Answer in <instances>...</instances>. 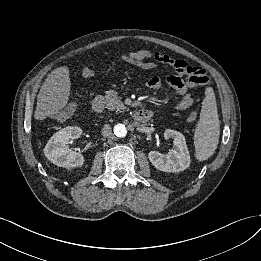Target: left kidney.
I'll return each mask as SVG.
<instances>
[{"label":"left kidney","instance_id":"5707ae66","mask_svg":"<svg viewBox=\"0 0 261 261\" xmlns=\"http://www.w3.org/2000/svg\"><path fill=\"white\" fill-rule=\"evenodd\" d=\"M165 139H173V148L167 155L157 151H150L148 158L152 165L164 172H180L190 166V155L183 134L178 131L167 129L164 132Z\"/></svg>","mask_w":261,"mask_h":261}]
</instances>
